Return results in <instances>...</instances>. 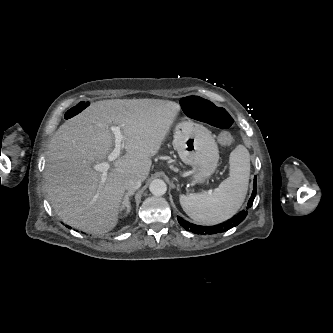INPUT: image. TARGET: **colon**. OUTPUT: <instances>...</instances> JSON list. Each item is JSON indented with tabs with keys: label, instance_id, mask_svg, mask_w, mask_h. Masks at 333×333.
<instances>
[{
	"label": "colon",
	"instance_id": "obj_1",
	"mask_svg": "<svg viewBox=\"0 0 333 333\" xmlns=\"http://www.w3.org/2000/svg\"><path fill=\"white\" fill-rule=\"evenodd\" d=\"M88 107L87 102H79L71 107L65 114V119H72L84 112ZM182 107L193 119L211 125L219 129H230L234 122L230 114L223 108L216 106L211 101L200 96H187L182 100ZM233 131L240 135L242 128L235 126Z\"/></svg>",
	"mask_w": 333,
	"mask_h": 333
}]
</instances>
